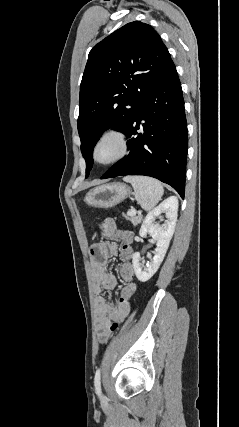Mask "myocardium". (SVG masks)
Listing matches in <instances>:
<instances>
[{
    "instance_id": "f54148a6",
    "label": "myocardium",
    "mask_w": 239,
    "mask_h": 427,
    "mask_svg": "<svg viewBox=\"0 0 239 427\" xmlns=\"http://www.w3.org/2000/svg\"><path fill=\"white\" fill-rule=\"evenodd\" d=\"M107 138H115L120 144V151L116 157L108 161H100L97 158V149L99 145ZM130 149V141L128 135L119 129H108L101 133L92 147V158L95 163L102 166H111L124 159Z\"/></svg>"
}]
</instances>
